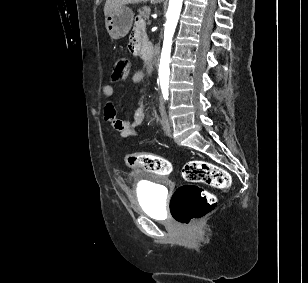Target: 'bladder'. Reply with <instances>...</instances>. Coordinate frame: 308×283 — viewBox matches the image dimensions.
<instances>
[{
  "mask_svg": "<svg viewBox=\"0 0 308 283\" xmlns=\"http://www.w3.org/2000/svg\"><path fill=\"white\" fill-rule=\"evenodd\" d=\"M136 198L140 211L153 218L165 215V194L163 188L149 180H142L136 188Z\"/></svg>",
  "mask_w": 308,
  "mask_h": 283,
  "instance_id": "1",
  "label": "bladder"
}]
</instances>
